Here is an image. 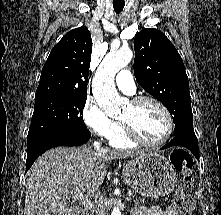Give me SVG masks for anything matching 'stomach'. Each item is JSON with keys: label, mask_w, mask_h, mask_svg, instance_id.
Masks as SVG:
<instances>
[{"label": "stomach", "mask_w": 221, "mask_h": 215, "mask_svg": "<svg viewBox=\"0 0 221 215\" xmlns=\"http://www.w3.org/2000/svg\"><path fill=\"white\" fill-rule=\"evenodd\" d=\"M122 176L136 192L149 198L167 196L176 185L173 164L157 152L131 159L123 168Z\"/></svg>", "instance_id": "1"}]
</instances>
